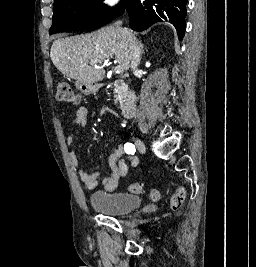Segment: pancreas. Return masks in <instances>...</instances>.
<instances>
[{"label": "pancreas", "mask_w": 256, "mask_h": 267, "mask_svg": "<svg viewBox=\"0 0 256 267\" xmlns=\"http://www.w3.org/2000/svg\"><path fill=\"white\" fill-rule=\"evenodd\" d=\"M114 92L115 94H119L120 98H117V100H115V102H120V106H123L122 102H123V98H125L123 92H121V90H119V88H114Z\"/></svg>", "instance_id": "obj_1"}]
</instances>
